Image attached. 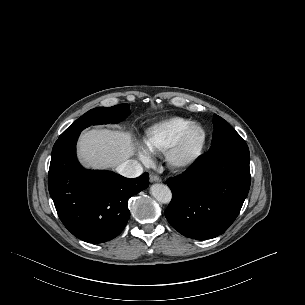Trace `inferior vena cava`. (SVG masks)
I'll list each match as a JSON object with an SVG mask.
<instances>
[{"instance_id": "obj_1", "label": "inferior vena cava", "mask_w": 305, "mask_h": 305, "mask_svg": "<svg viewBox=\"0 0 305 305\" xmlns=\"http://www.w3.org/2000/svg\"><path fill=\"white\" fill-rule=\"evenodd\" d=\"M116 171L124 177L135 178L143 173V167L136 160H126L117 166Z\"/></svg>"}]
</instances>
